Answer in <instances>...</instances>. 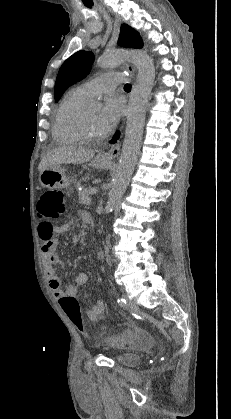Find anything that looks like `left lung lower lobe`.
Returning a JSON list of instances; mask_svg holds the SVG:
<instances>
[{
	"label": "left lung lower lobe",
	"instance_id": "1",
	"mask_svg": "<svg viewBox=\"0 0 231 419\" xmlns=\"http://www.w3.org/2000/svg\"><path fill=\"white\" fill-rule=\"evenodd\" d=\"M119 131L115 134V136H114V138H113V140H111V143H115L116 142V140L119 138Z\"/></svg>",
	"mask_w": 231,
	"mask_h": 419
}]
</instances>
